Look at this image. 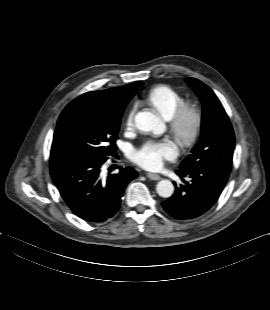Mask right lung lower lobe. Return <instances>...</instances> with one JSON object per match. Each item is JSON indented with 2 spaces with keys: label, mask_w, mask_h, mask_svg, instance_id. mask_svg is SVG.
<instances>
[{
  "label": "right lung lower lobe",
  "mask_w": 270,
  "mask_h": 310,
  "mask_svg": "<svg viewBox=\"0 0 270 310\" xmlns=\"http://www.w3.org/2000/svg\"><path fill=\"white\" fill-rule=\"evenodd\" d=\"M104 162L77 156L50 157L51 177L72 212L81 219L104 222L117 212L127 184L137 177L130 168L101 177Z\"/></svg>",
  "instance_id": "98d812e1"
}]
</instances>
